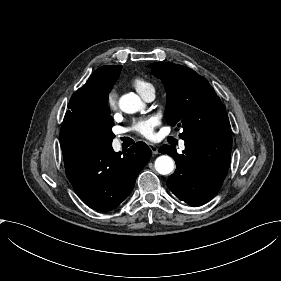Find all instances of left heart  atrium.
Instances as JSON below:
<instances>
[{
  "instance_id": "39dd6f15",
  "label": "left heart atrium",
  "mask_w": 281,
  "mask_h": 281,
  "mask_svg": "<svg viewBox=\"0 0 281 281\" xmlns=\"http://www.w3.org/2000/svg\"><path fill=\"white\" fill-rule=\"evenodd\" d=\"M160 124V118L156 115H150L134 121L132 130L149 139L155 138L154 129Z\"/></svg>"
}]
</instances>
